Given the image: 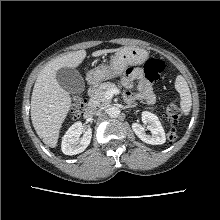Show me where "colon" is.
Listing matches in <instances>:
<instances>
[{
  "label": "colon",
  "instance_id": "colon-1",
  "mask_svg": "<svg viewBox=\"0 0 220 220\" xmlns=\"http://www.w3.org/2000/svg\"><path fill=\"white\" fill-rule=\"evenodd\" d=\"M163 71V64L160 60L149 59L144 65V74L146 79L150 82H156L160 78V74ZM86 98L83 94H77L73 97L71 114L72 117H79L83 114L86 107ZM181 116L180 109L175 104H170L166 109V119L170 125L177 123ZM177 138V134L174 129H171L167 134V140L174 142Z\"/></svg>",
  "mask_w": 220,
  "mask_h": 220
}]
</instances>
